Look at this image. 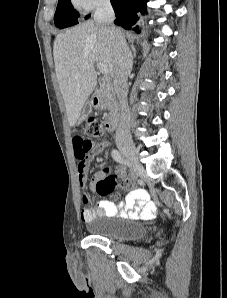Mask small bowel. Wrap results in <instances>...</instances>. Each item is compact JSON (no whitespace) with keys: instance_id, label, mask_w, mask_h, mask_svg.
I'll return each mask as SVG.
<instances>
[{"instance_id":"1","label":"small bowel","mask_w":227,"mask_h":298,"mask_svg":"<svg viewBox=\"0 0 227 298\" xmlns=\"http://www.w3.org/2000/svg\"><path fill=\"white\" fill-rule=\"evenodd\" d=\"M75 139H71V146L74 151V158L78 159V177L82 187L87 184V172L90 160L92 157L103 152L108 143L103 142L93 145L92 142H82L85 138L84 134H75ZM93 146V147H92ZM122 174L123 171L119 170ZM103 176V173H98L95 180ZM157 211V207L150 200L149 195L144 190H134L129 193L119 203H114L110 200H101L96 205H88L81 210V219L83 222H89L101 216L106 217H124L131 219H152Z\"/></svg>"}]
</instances>
